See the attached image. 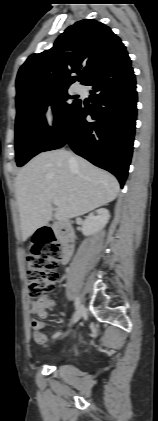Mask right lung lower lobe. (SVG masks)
I'll return each instance as SVG.
<instances>
[{"instance_id": "obj_1", "label": "right lung lower lobe", "mask_w": 158, "mask_h": 421, "mask_svg": "<svg viewBox=\"0 0 158 421\" xmlns=\"http://www.w3.org/2000/svg\"><path fill=\"white\" fill-rule=\"evenodd\" d=\"M85 85L93 87L92 104L84 107L80 101L42 151L68 143L76 154L114 174L123 187L132 157L137 115L136 81L127 52L111 60ZM87 115L92 121L86 120Z\"/></svg>"}]
</instances>
